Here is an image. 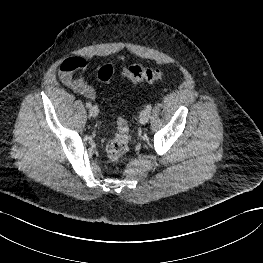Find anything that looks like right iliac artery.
I'll return each instance as SVG.
<instances>
[{"mask_svg": "<svg viewBox=\"0 0 263 263\" xmlns=\"http://www.w3.org/2000/svg\"><path fill=\"white\" fill-rule=\"evenodd\" d=\"M86 107L91 108V107H92V104H91L90 102H87V103H86Z\"/></svg>", "mask_w": 263, "mask_h": 263, "instance_id": "82829eb1", "label": "right iliac artery"}]
</instances>
